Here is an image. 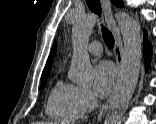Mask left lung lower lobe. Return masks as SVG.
I'll return each mask as SVG.
<instances>
[{"label": "left lung lower lobe", "instance_id": "obj_1", "mask_svg": "<svg viewBox=\"0 0 156 124\" xmlns=\"http://www.w3.org/2000/svg\"><path fill=\"white\" fill-rule=\"evenodd\" d=\"M150 52H151V46L148 42L144 43V53H145V62L146 65H148L150 60Z\"/></svg>", "mask_w": 156, "mask_h": 124}]
</instances>
